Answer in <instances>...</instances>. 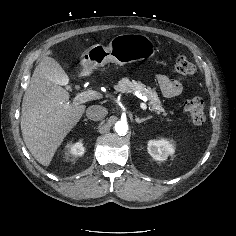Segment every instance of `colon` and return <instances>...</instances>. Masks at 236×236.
<instances>
[{
	"label": "colon",
	"mask_w": 236,
	"mask_h": 236,
	"mask_svg": "<svg viewBox=\"0 0 236 236\" xmlns=\"http://www.w3.org/2000/svg\"><path fill=\"white\" fill-rule=\"evenodd\" d=\"M174 69L181 79L191 78L195 73V66L183 55L175 59ZM184 110L193 123L202 124L205 121L204 102L199 96L187 99L184 102Z\"/></svg>",
	"instance_id": "colon-1"
}]
</instances>
